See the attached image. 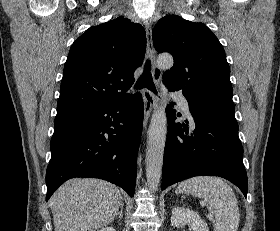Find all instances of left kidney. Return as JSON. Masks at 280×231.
Segmentation results:
<instances>
[{
    "label": "left kidney",
    "instance_id": "obj_1",
    "mask_svg": "<svg viewBox=\"0 0 280 231\" xmlns=\"http://www.w3.org/2000/svg\"><path fill=\"white\" fill-rule=\"evenodd\" d=\"M187 223L193 231H209L207 223L201 219L200 215L192 209H185V207H173L171 215V225L179 227Z\"/></svg>",
    "mask_w": 280,
    "mask_h": 231
}]
</instances>
